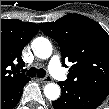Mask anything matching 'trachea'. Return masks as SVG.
Returning <instances> with one entry per match:
<instances>
[{
    "instance_id": "trachea-1",
    "label": "trachea",
    "mask_w": 109,
    "mask_h": 109,
    "mask_svg": "<svg viewBox=\"0 0 109 109\" xmlns=\"http://www.w3.org/2000/svg\"><path fill=\"white\" fill-rule=\"evenodd\" d=\"M27 75L30 77H39V78H43L46 75V72L43 68H39L38 70L35 67L30 68L27 71Z\"/></svg>"
}]
</instances>
